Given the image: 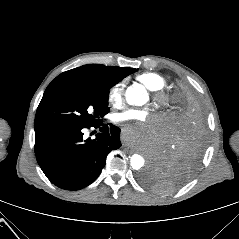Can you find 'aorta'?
<instances>
[{
    "label": "aorta",
    "instance_id": "1",
    "mask_svg": "<svg viewBox=\"0 0 239 239\" xmlns=\"http://www.w3.org/2000/svg\"><path fill=\"white\" fill-rule=\"evenodd\" d=\"M126 100L130 105L141 106L148 100L145 89L140 85L130 86L126 90ZM145 159L139 154H133L130 157V165L133 169L139 170L144 167Z\"/></svg>",
    "mask_w": 239,
    "mask_h": 239
}]
</instances>
